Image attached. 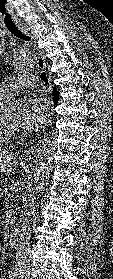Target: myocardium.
<instances>
[{"mask_svg":"<svg viewBox=\"0 0 113 279\" xmlns=\"http://www.w3.org/2000/svg\"><path fill=\"white\" fill-rule=\"evenodd\" d=\"M9 109L5 108L0 115V128L7 136H13L18 133L19 127H16L9 121Z\"/></svg>","mask_w":113,"mask_h":279,"instance_id":"myocardium-1","label":"myocardium"}]
</instances>
